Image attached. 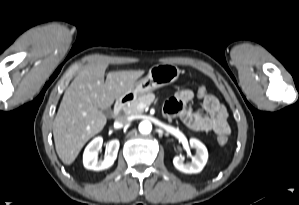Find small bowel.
<instances>
[{"label": "small bowel", "instance_id": "1", "mask_svg": "<svg viewBox=\"0 0 299 205\" xmlns=\"http://www.w3.org/2000/svg\"><path fill=\"white\" fill-rule=\"evenodd\" d=\"M194 98L190 89L179 90L164 106L165 114L178 116L184 125L194 131H212L216 134L229 133L227 112L219 100L210 94L202 99V111L191 110L187 104Z\"/></svg>", "mask_w": 299, "mask_h": 205}]
</instances>
